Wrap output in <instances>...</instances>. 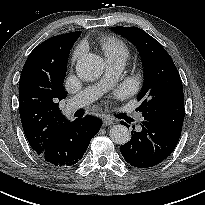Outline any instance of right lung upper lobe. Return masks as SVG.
<instances>
[{"mask_svg":"<svg viewBox=\"0 0 205 205\" xmlns=\"http://www.w3.org/2000/svg\"><path fill=\"white\" fill-rule=\"evenodd\" d=\"M81 31L53 36L27 58L20 76L19 113L25 136L39 155L68 121L58 101L66 97L63 82L70 49Z\"/></svg>","mask_w":205,"mask_h":205,"instance_id":"1","label":"right lung upper lobe"}]
</instances>
